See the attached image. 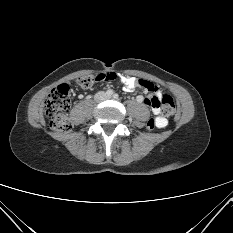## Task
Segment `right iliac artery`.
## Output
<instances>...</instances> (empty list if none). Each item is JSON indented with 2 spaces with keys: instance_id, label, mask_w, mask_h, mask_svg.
Here are the masks:
<instances>
[{
  "instance_id": "right-iliac-artery-1",
  "label": "right iliac artery",
  "mask_w": 233,
  "mask_h": 233,
  "mask_svg": "<svg viewBox=\"0 0 233 233\" xmlns=\"http://www.w3.org/2000/svg\"><path fill=\"white\" fill-rule=\"evenodd\" d=\"M113 93H114V92H113V90H111V89H109V90L106 91V95H107V96H111Z\"/></svg>"
}]
</instances>
